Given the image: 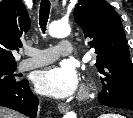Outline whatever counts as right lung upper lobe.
Returning <instances> with one entry per match:
<instances>
[{"label": "right lung upper lobe", "instance_id": "1", "mask_svg": "<svg viewBox=\"0 0 133 118\" xmlns=\"http://www.w3.org/2000/svg\"><path fill=\"white\" fill-rule=\"evenodd\" d=\"M29 28V15L20 0L0 2V63H16L13 54L22 47L20 38Z\"/></svg>", "mask_w": 133, "mask_h": 118}]
</instances>
